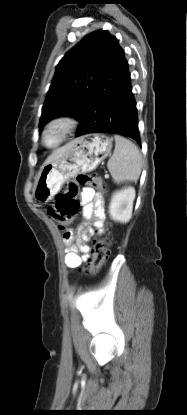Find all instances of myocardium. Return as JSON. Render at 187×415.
<instances>
[{
	"label": "myocardium",
	"instance_id": "1",
	"mask_svg": "<svg viewBox=\"0 0 187 415\" xmlns=\"http://www.w3.org/2000/svg\"><path fill=\"white\" fill-rule=\"evenodd\" d=\"M77 126L75 118L67 115H60L50 119L43 127L41 143L47 148H56L62 145L72 134ZM56 132L57 136L53 142L48 141L49 134Z\"/></svg>",
	"mask_w": 187,
	"mask_h": 415
}]
</instances>
